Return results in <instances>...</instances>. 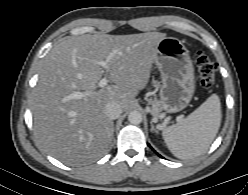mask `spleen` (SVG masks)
<instances>
[{
	"mask_svg": "<svg viewBox=\"0 0 248 195\" xmlns=\"http://www.w3.org/2000/svg\"><path fill=\"white\" fill-rule=\"evenodd\" d=\"M221 103L211 95L194 112L162 131V137L174 156L193 159L204 154L221 124Z\"/></svg>",
	"mask_w": 248,
	"mask_h": 195,
	"instance_id": "obj_1",
	"label": "spleen"
}]
</instances>
